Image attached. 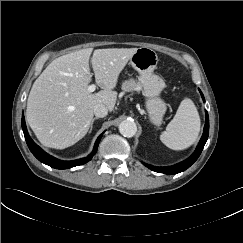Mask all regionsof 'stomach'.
<instances>
[{"label": "stomach", "instance_id": "stomach-1", "mask_svg": "<svg viewBox=\"0 0 243 243\" xmlns=\"http://www.w3.org/2000/svg\"><path fill=\"white\" fill-rule=\"evenodd\" d=\"M130 64L139 73V83L143 88V95L146 97L145 107L150 121L154 125L160 126L166 112V104L159 97L165 87L164 80L154 74L158 64L157 53L151 48H138L130 58Z\"/></svg>", "mask_w": 243, "mask_h": 243}]
</instances>
